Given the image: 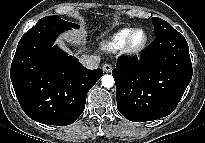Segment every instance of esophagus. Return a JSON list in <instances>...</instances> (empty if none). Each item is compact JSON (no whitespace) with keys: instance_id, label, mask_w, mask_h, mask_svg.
Instances as JSON below:
<instances>
[{"instance_id":"34e87169","label":"esophagus","mask_w":205,"mask_h":143,"mask_svg":"<svg viewBox=\"0 0 205 143\" xmlns=\"http://www.w3.org/2000/svg\"><path fill=\"white\" fill-rule=\"evenodd\" d=\"M102 69L105 73H110L112 71V66L110 64H104Z\"/></svg>"}]
</instances>
